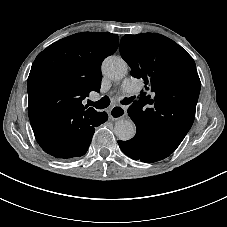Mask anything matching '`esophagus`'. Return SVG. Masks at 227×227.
<instances>
[{
  "label": "esophagus",
  "instance_id": "1",
  "mask_svg": "<svg viewBox=\"0 0 227 227\" xmlns=\"http://www.w3.org/2000/svg\"><path fill=\"white\" fill-rule=\"evenodd\" d=\"M126 108L122 105H114L109 110V118L111 120H119L126 115Z\"/></svg>",
  "mask_w": 227,
  "mask_h": 227
}]
</instances>
